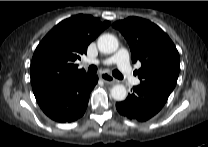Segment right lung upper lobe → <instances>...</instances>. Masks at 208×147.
I'll return each mask as SVG.
<instances>
[{"label":"right lung upper lobe","instance_id":"1","mask_svg":"<svg viewBox=\"0 0 208 147\" xmlns=\"http://www.w3.org/2000/svg\"><path fill=\"white\" fill-rule=\"evenodd\" d=\"M91 15L79 14L57 24L37 46L31 63V84L35 97L64 89L86 75L76 59L108 26Z\"/></svg>","mask_w":208,"mask_h":147}]
</instances>
